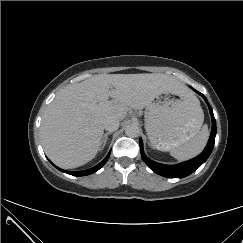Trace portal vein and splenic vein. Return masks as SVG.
I'll list each match as a JSON object with an SVG mask.
<instances>
[{
  "label": "portal vein and splenic vein",
  "instance_id": "18ae733b",
  "mask_svg": "<svg viewBox=\"0 0 243 243\" xmlns=\"http://www.w3.org/2000/svg\"><path fill=\"white\" fill-rule=\"evenodd\" d=\"M112 108H113V104L111 103H100L99 105L96 106L97 110H103V111L111 110Z\"/></svg>",
  "mask_w": 243,
  "mask_h": 243
}]
</instances>
